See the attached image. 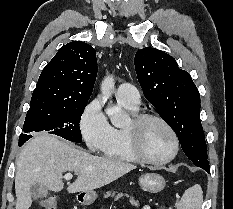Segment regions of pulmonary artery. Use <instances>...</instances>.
<instances>
[{
    "label": "pulmonary artery",
    "mask_w": 233,
    "mask_h": 209,
    "mask_svg": "<svg viewBox=\"0 0 233 209\" xmlns=\"http://www.w3.org/2000/svg\"><path fill=\"white\" fill-rule=\"evenodd\" d=\"M116 97L119 101L130 106L138 107L140 105L139 91L130 83L121 84L116 91Z\"/></svg>",
    "instance_id": "1"
}]
</instances>
